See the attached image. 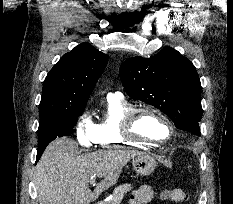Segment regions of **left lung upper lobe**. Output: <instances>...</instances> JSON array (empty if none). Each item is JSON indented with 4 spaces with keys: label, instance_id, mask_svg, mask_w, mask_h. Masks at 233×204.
I'll return each mask as SVG.
<instances>
[{
    "label": "left lung upper lobe",
    "instance_id": "obj_1",
    "mask_svg": "<svg viewBox=\"0 0 233 204\" xmlns=\"http://www.w3.org/2000/svg\"><path fill=\"white\" fill-rule=\"evenodd\" d=\"M120 78L130 97L159 108L178 129L201 135L200 79L178 51L165 47L151 58H130L122 63Z\"/></svg>",
    "mask_w": 233,
    "mask_h": 204
}]
</instances>
